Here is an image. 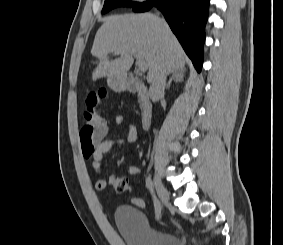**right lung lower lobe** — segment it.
I'll return each mask as SVG.
<instances>
[{"label": "right lung lower lobe", "instance_id": "98d812e1", "mask_svg": "<svg viewBox=\"0 0 283 245\" xmlns=\"http://www.w3.org/2000/svg\"><path fill=\"white\" fill-rule=\"evenodd\" d=\"M209 2L210 0H152L136 4L133 11L145 12L153 5L157 6L195 68L200 72Z\"/></svg>", "mask_w": 283, "mask_h": 245}]
</instances>
